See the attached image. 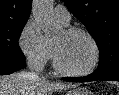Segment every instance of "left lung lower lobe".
Here are the masks:
<instances>
[{"instance_id":"obj_1","label":"left lung lower lobe","mask_w":119,"mask_h":95,"mask_svg":"<svg viewBox=\"0 0 119 95\" xmlns=\"http://www.w3.org/2000/svg\"><path fill=\"white\" fill-rule=\"evenodd\" d=\"M65 81H71V82H87V81H96V80H105V81H119V70L114 71L107 75H102L97 72H93L92 74L85 76V77H63L62 78Z\"/></svg>"}]
</instances>
